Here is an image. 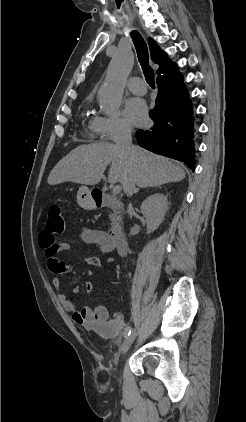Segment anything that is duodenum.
Instances as JSON below:
<instances>
[{
	"mask_svg": "<svg viewBox=\"0 0 246 422\" xmlns=\"http://www.w3.org/2000/svg\"><path fill=\"white\" fill-rule=\"evenodd\" d=\"M94 204L97 208L106 207L114 211H119L122 208V204L118 200L106 195H95ZM109 236L117 252L124 255L127 252L128 245L123 228L120 225H114L109 231Z\"/></svg>",
	"mask_w": 246,
	"mask_h": 422,
	"instance_id": "duodenum-1",
	"label": "duodenum"
}]
</instances>
